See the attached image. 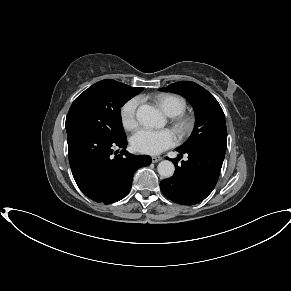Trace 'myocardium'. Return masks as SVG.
<instances>
[{
    "instance_id": "myocardium-1",
    "label": "myocardium",
    "mask_w": 291,
    "mask_h": 291,
    "mask_svg": "<svg viewBox=\"0 0 291 291\" xmlns=\"http://www.w3.org/2000/svg\"><path fill=\"white\" fill-rule=\"evenodd\" d=\"M171 122L174 130L181 139L189 137L193 133L196 125L194 116L184 112L173 116Z\"/></svg>"
}]
</instances>
